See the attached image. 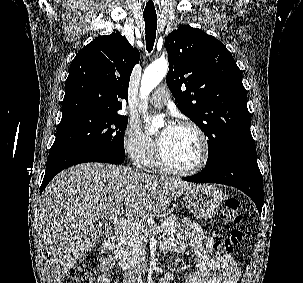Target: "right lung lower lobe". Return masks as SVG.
I'll use <instances>...</instances> for the list:
<instances>
[{"instance_id":"98d812e1","label":"right lung lower lobe","mask_w":303,"mask_h":283,"mask_svg":"<svg viewBox=\"0 0 303 283\" xmlns=\"http://www.w3.org/2000/svg\"><path fill=\"white\" fill-rule=\"evenodd\" d=\"M123 161L124 157L93 151H65L49 154L40 194L57 173L70 166L86 162L121 164Z\"/></svg>"}]
</instances>
